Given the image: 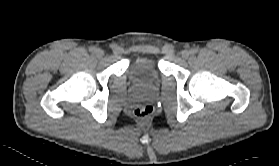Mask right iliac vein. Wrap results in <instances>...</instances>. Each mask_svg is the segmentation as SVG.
I'll return each mask as SVG.
<instances>
[{"label": "right iliac vein", "instance_id": "right-iliac-vein-1", "mask_svg": "<svg viewBox=\"0 0 279 166\" xmlns=\"http://www.w3.org/2000/svg\"><path fill=\"white\" fill-rule=\"evenodd\" d=\"M95 55H96L98 58H101V57L104 55V52H103V50H101V49H96Z\"/></svg>", "mask_w": 279, "mask_h": 166}]
</instances>
